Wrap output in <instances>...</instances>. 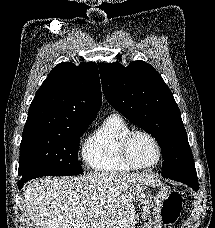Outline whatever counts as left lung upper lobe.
Masks as SVG:
<instances>
[{
	"instance_id": "5c2ea615",
	"label": "left lung upper lobe",
	"mask_w": 215,
	"mask_h": 228,
	"mask_svg": "<svg viewBox=\"0 0 215 228\" xmlns=\"http://www.w3.org/2000/svg\"><path fill=\"white\" fill-rule=\"evenodd\" d=\"M104 95L124 117L152 134L162 150V176L195 169L180 110L161 75L138 60L99 64Z\"/></svg>"
}]
</instances>
